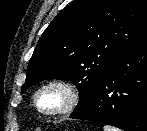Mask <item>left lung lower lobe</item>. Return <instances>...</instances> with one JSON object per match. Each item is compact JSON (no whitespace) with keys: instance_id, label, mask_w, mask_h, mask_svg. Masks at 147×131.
Masks as SVG:
<instances>
[{"instance_id":"1","label":"left lung lower lobe","mask_w":147,"mask_h":131,"mask_svg":"<svg viewBox=\"0 0 147 131\" xmlns=\"http://www.w3.org/2000/svg\"><path fill=\"white\" fill-rule=\"evenodd\" d=\"M70 118L147 131V38L114 61L88 104Z\"/></svg>"}]
</instances>
